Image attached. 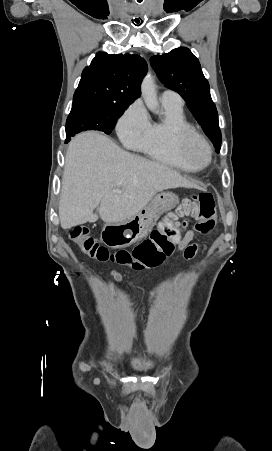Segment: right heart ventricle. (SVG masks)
Returning <instances> with one entry per match:
<instances>
[{"label": "right heart ventricle", "instance_id": "obj_1", "mask_svg": "<svg viewBox=\"0 0 272 451\" xmlns=\"http://www.w3.org/2000/svg\"><path fill=\"white\" fill-rule=\"evenodd\" d=\"M162 104L166 112L165 120L150 124L145 138L135 147L152 159L187 172L181 163L178 145L171 139V130L175 127H191L185 120L182 109Z\"/></svg>", "mask_w": 272, "mask_h": 451}]
</instances>
